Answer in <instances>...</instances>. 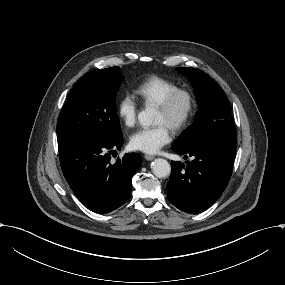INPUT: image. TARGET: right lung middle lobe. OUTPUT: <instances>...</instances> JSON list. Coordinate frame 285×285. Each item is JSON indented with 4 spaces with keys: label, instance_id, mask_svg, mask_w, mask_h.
I'll return each mask as SVG.
<instances>
[{
    "label": "right lung middle lobe",
    "instance_id": "dd1d6c3e",
    "mask_svg": "<svg viewBox=\"0 0 285 285\" xmlns=\"http://www.w3.org/2000/svg\"><path fill=\"white\" fill-rule=\"evenodd\" d=\"M123 80L119 67L96 69L81 77L58 117V142L122 137L116 94Z\"/></svg>",
    "mask_w": 285,
    "mask_h": 285
}]
</instances>
